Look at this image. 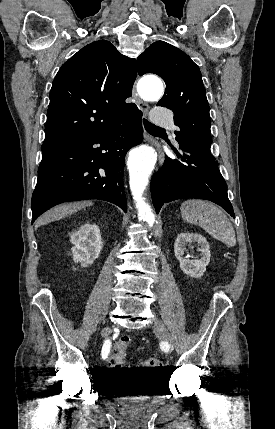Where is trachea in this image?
Wrapping results in <instances>:
<instances>
[{
    "label": "trachea",
    "instance_id": "obj_1",
    "mask_svg": "<svg viewBox=\"0 0 275 429\" xmlns=\"http://www.w3.org/2000/svg\"><path fill=\"white\" fill-rule=\"evenodd\" d=\"M143 122H144V127H145L146 131L149 133H154V132H158V131H165L163 128L155 126L154 124L150 123L146 119H144Z\"/></svg>",
    "mask_w": 275,
    "mask_h": 429
}]
</instances>
